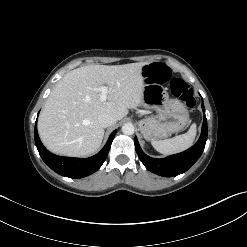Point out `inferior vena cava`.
Masks as SVG:
<instances>
[{"label":"inferior vena cava","instance_id":"inferior-vena-cava-1","mask_svg":"<svg viewBox=\"0 0 247 247\" xmlns=\"http://www.w3.org/2000/svg\"><path fill=\"white\" fill-rule=\"evenodd\" d=\"M116 118L111 115V114H107V113H103L101 115H99L98 117V123L103 127H109L112 126L116 123Z\"/></svg>","mask_w":247,"mask_h":247}]
</instances>
